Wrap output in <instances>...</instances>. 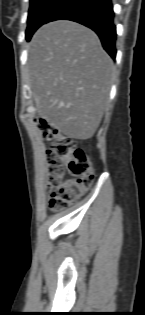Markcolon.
<instances>
[{
    "label": "colon",
    "mask_w": 145,
    "mask_h": 315,
    "mask_svg": "<svg viewBox=\"0 0 145 315\" xmlns=\"http://www.w3.org/2000/svg\"><path fill=\"white\" fill-rule=\"evenodd\" d=\"M37 126L48 145L46 187L50 193V205L55 210H62L90 186L94 166L76 141L61 133L57 127L44 119H39ZM66 174H70L73 179H66Z\"/></svg>",
    "instance_id": "5ec220e1"
}]
</instances>
